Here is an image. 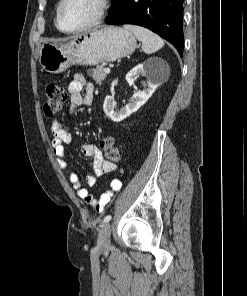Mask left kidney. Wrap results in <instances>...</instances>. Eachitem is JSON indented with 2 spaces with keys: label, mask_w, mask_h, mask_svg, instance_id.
<instances>
[{
  "label": "left kidney",
  "mask_w": 247,
  "mask_h": 296,
  "mask_svg": "<svg viewBox=\"0 0 247 296\" xmlns=\"http://www.w3.org/2000/svg\"><path fill=\"white\" fill-rule=\"evenodd\" d=\"M162 61L157 59H149L142 64L137 65L126 75V81L132 85L139 75L145 76L147 82L144 84V89L134 93L132 99L120 110L115 111L116 103L111 96L105 98L103 104L104 113L114 122H120L129 117L143 106L152 96L158 87V76H156V66Z\"/></svg>",
  "instance_id": "1"
}]
</instances>
